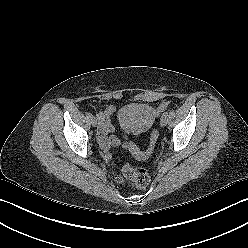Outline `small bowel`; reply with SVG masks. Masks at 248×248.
I'll return each instance as SVG.
<instances>
[{
	"instance_id": "small-bowel-1",
	"label": "small bowel",
	"mask_w": 248,
	"mask_h": 248,
	"mask_svg": "<svg viewBox=\"0 0 248 248\" xmlns=\"http://www.w3.org/2000/svg\"><path fill=\"white\" fill-rule=\"evenodd\" d=\"M115 111L116 108L111 105L97 115L99 120L97 138L99 145L103 150H108L111 147L118 146L122 142L120 138L110 135L114 131V127L111 123V117L113 116ZM120 126L124 132L123 138L125 139L126 135L131 133V131L126 128L121 122Z\"/></svg>"
}]
</instances>
